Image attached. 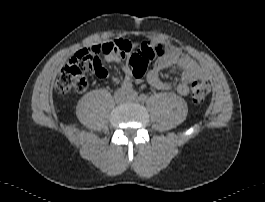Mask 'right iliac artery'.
I'll use <instances>...</instances> for the list:
<instances>
[{
	"label": "right iliac artery",
	"instance_id": "1",
	"mask_svg": "<svg viewBox=\"0 0 265 202\" xmlns=\"http://www.w3.org/2000/svg\"><path fill=\"white\" fill-rule=\"evenodd\" d=\"M121 90H123V91H130V90H132V84L130 82H125L124 81L121 84Z\"/></svg>",
	"mask_w": 265,
	"mask_h": 202
}]
</instances>
